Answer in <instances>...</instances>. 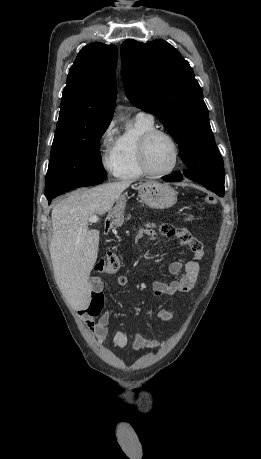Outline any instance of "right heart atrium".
<instances>
[{
	"mask_svg": "<svg viewBox=\"0 0 261 459\" xmlns=\"http://www.w3.org/2000/svg\"><path fill=\"white\" fill-rule=\"evenodd\" d=\"M114 124L109 123L102 131L99 139L100 145V160L103 168L110 174L117 173V159L114 151V143L112 142Z\"/></svg>",
	"mask_w": 261,
	"mask_h": 459,
	"instance_id": "1",
	"label": "right heart atrium"
}]
</instances>
